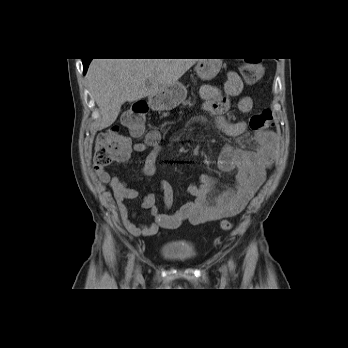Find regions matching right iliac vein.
I'll list each match as a JSON object with an SVG mask.
<instances>
[{"instance_id":"63e3f726","label":"right iliac vein","mask_w":348,"mask_h":348,"mask_svg":"<svg viewBox=\"0 0 348 348\" xmlns=\"http://www.w3.org/2000/svg\"><path fill=\"white\" fill-rule=\"evenodd\" d=\"M136 274H137V276H139V274H140V269L139 268L136 269Z\"/></svg>"}]
</instances>
